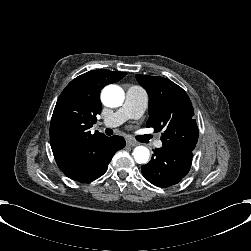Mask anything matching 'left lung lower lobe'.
<instances>
[{
    "label": "left lung lower lobe",
    "instance_id": "obj_1",
    "mask_svg": "<svg viewBox=\"0 0 251 251\" xmlns=\"http://www.w3.org/2000/svg\"><path fill=\"white\" fill-rule=\"evenodd\" d=\"M153 152L151 161L142 166L141 172L155 186L166 188L175 185L188 174L193 152L165 147L156 148Z\"/></svg>",
    "mask_w": 251,
    "mask_h": 251
}]
</instances>
